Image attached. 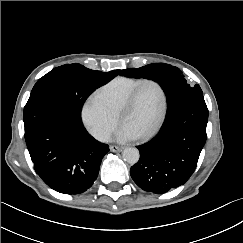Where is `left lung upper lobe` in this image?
I'll list each match as a JSON object with an SVG mask.
<instances>
[{
    "instance_id": "1",
    "label": "left lung upper lobe",
    "mask_w": 243,
    "mask_h": 243,
    "mask_svg": "<svg viewBox=\"0 0 243 243\" xmlns=\"http://www.w3.org/2000/svg\"><path fill=\"white\" fill-rule=\"evenodd\" d=\"M120 75L133 78H147L157 82L166 95L167 113L185 100L203 95L198 84L190 86L182 75V71L169 64H149L141 68L125 69L120 72Z\"/></svg>"
}]
</instances>
